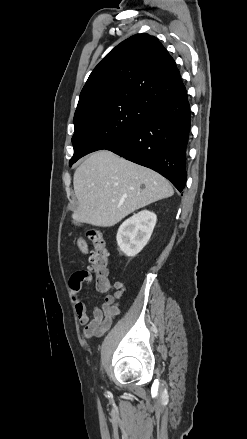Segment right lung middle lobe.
Returning a JSON list of instances; mask_svg holds the SVG:
<instances>
[{
    "label": "right lung middle lobe",
    "instance_id": "dd1d6c3e",
    "mask_svg": "<svg viewBox=\"0 0 247 439\" xmlns=\"http://www.w3.org/2000/svg\"><path fill=\"white\" fill-rule=\"evenodd\" d=\"M148 111V107L135 101L114 100L75 114L70 166L86 154L118 143L141 123Z\"/></svg>",
    "mask_w": 247,
    "mask_h": 439
}]
</instances>
